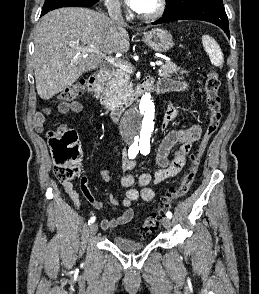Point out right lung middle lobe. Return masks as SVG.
Wrapping results in <instances>:
<instances>
[{"instance_id":"obj_1","label":"right lung middle lobe","mask_w":259,"mask_h":294,"mask_svg":"<svg viewBox=\"0 0 259 294\" xmlns=\"http://www.w3.org/2000/svg\"><path fill=\"white\" fill-rule=\"evenodd\" d=\"M98 0H45L41 15L61 6L90 7Z\"/></svg>"}]
</instances>
